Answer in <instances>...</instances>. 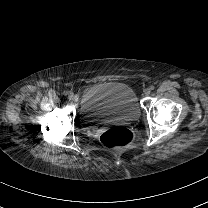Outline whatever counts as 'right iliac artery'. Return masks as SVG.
Returning a JSON list of instances; mask_svg holds the SVG:
<instances>
[{"label":"right iliac artery","instance_id":"82829eb1","mask_svg":"<svg viewBox=\"0 0 208 208\" xmlns=\"http://www.w3.org/2000/svg\"><path fill=\"white\" fill-rule=\"evenodd\" d=\"M63 94H64V96H67L68 95V92L67 91H64Z\"/></svg>","mask_w":208,"mask_h":208}]
</instances>
